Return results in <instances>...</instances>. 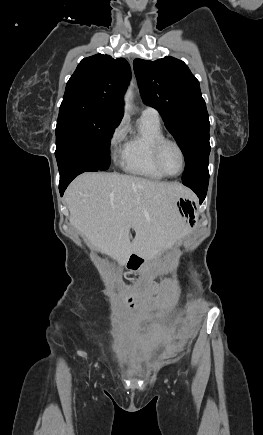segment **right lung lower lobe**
Returning <instances> with one entry per match:
<instances>
[{
  "instance_id": "1",
  "label": "right lung lower lobe",
  "mask_w": 263,
  "mask_h": 435,
  "mask_svg": "<svg viewBox=\"0 0 263 435\" xmlns=\"http://www.w3.org/2000/svg\"><path fill=\"white\" fill-rule=\"evenodd\" d=\"M89 171H99L98 169L94 168H86V167H71L67 169L65 172L60 174V182H59V190L61 196L63 195L65 189L69 185V183L79 174L83 172H89Z\"/></svg>"
}]
</instances>
